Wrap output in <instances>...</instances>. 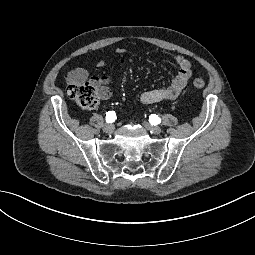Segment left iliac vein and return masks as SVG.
<instances>
[{
  "label": "left iliac vein",
  "instance_id": "left-iliac-vein-1",
  "mask_svg": "<svg viewBox=\"0 0 255 255\" xmlns=\"http://www.w3.org/2000/svg\"><path fill=\"white\" fill-rule=\"evenodd\" d=\"M144 127L149 130L151 133L154 134H160L161 133V128L159 126H152L150 123L148 122H143Z\"/></svg>",
  "mask_w": 255,
  "mask_h": 255
}]
</instances>
